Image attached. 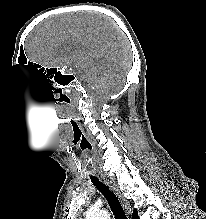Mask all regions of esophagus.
Wrapping results in <instances>:
<instances>
[{
	"label": "esophagus",
	"mask_w": 206,
	"mask_h": 219,
	"mask_svg": "<svg viewBox=\"0 0 206 219\" xmlns=\"http://www.w3.org/2000/svg\"><path fill=\"white\" fill-rule=\"evenodd\" d=\"M102 179L104 180V182L114 191V193L117 195L118 199L120 200L122 206L124 207L126 213L128 215L131 214V206L129 201L122 195V193L120 192V190L118 189V187L115 185L114 182H112L111 180L107 179L105 176H102Z\"/></svg>",
	"instance_id": "34e87169"
}]
</instances>
